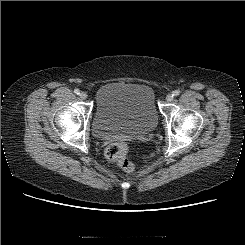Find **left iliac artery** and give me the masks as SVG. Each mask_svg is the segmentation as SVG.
<instances>
[{"instance_id": "44dca946", "label": "left iliac artery", "mask_w": 245, "mask_h": 245, "mask_svg": "<svg viewBox=\"0 0 245 245\" xmlns=\"http://www.w3.org/2000/svg\"><path fill=\"white\" fill-rule=\"evenodd\" d=\"M180 94V91L179 90H175V91H173V96H178Z\"/></svg>"}]
</instances>
